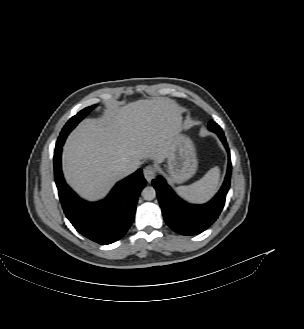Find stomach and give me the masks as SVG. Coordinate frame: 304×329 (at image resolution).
<instances>
[{
  "label": "stomach",
  "instance_id": "obj_1",
  "mask_svg": "<svg viewBox=\"0 0 304 329\" xmlns=\"http://www.w3.org/2000/svg\"><path fill=\"white\" fill-rule=\"evenodd\" d=\"M197 158L192 141L178 135L168 156V174L173 183H183L191 178L197 170Z\"/></svg>",
  "mask_w": 304,
  "mask_h": 329
}]
</instances>
